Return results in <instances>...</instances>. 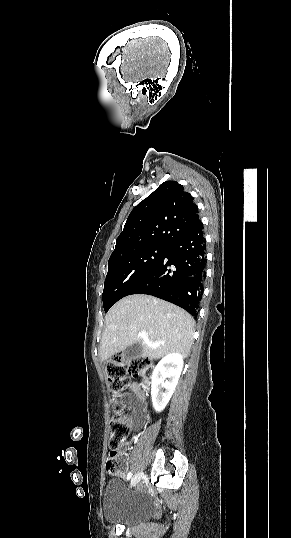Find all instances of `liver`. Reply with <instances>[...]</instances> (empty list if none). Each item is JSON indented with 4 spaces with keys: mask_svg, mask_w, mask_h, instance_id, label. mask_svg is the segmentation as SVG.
<instances>
[{
    "mask_svg": "<svg viewBox=\"0 0 291 538\" xmlns=\"http://www.w3.org/2000/svg\"><path fill=\"white\" fill-rule=\"evenodd\" d=\"M146 332L148 342L140 337ZM194 320L185 310L150 295L135 294L118 301L106 314L100 357L140 343L142 356L159 359L177 352L187 357L193 343Z\"/></svg>",
    "mask_w": 291,
    "mask_h": 538,
    "instance_id": "liver-1",
    "label": "liver"
}]
</instances>
